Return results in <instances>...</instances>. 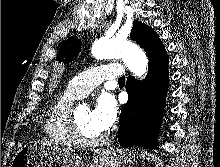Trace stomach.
Wrapping results in <instances>:
<instances>
[{
    "label": "stomach",
    "mask_w": 220,
    "mask_h": 167,
    "mask_svg": "<svg viewBox=\"0 0 220 167\" xmlns=\"http://www.w3.org/2000/svg\"><path fill=\"white\" fill-rule=\"evenodd\" d=\"M133 155L120 150H106L95 157L93 164L72 152L63 153L55 146L29 143L22 146L15 154L11 167H121L131 162Z\"/></svg>",
    "instance_id": "stomach-1"
}]
</instances>
